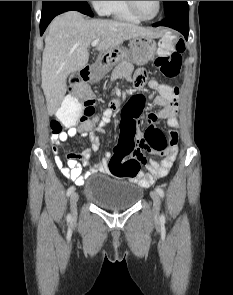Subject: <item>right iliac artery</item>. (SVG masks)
I'll return each mask as SVG.
<instances>
[{
  "label": "right iliac artery",
  "mask_w": 233,
  "mask_h": 295,
  "mask_svg": "<svg viewBox=\"0 0 233 295\" xmlns=\"http://www.w3.org/2000/svg\"><path fill=\"white\" fill-rule=\"evenodd\" d=\"M74 190H75L74 186L69 187L67 190V196H70L74 192Z\"/></svg>",
  "instance_id": "obj_1"
}]
</instances>
